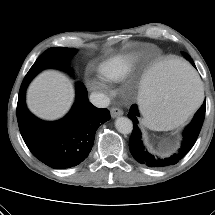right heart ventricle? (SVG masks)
Masks as SVG:
<instances>
[{
	"label": "right heart ventricle",
	"mask_w": 215,
	"mask_h": 215,
	"mask_svg": "<svg viewBox=\"0 0 215 215\" xmlns=\"http://www.w3.org/2000/svg\"><path fill=\"white\" fill-rule=\"evenodd\" d=\"M138 60L136 53L119 54L103 61L98 70L105 80L122 81L133 71Z\"/></svg>",
	"instance_id": "1"
}]
</instances>
